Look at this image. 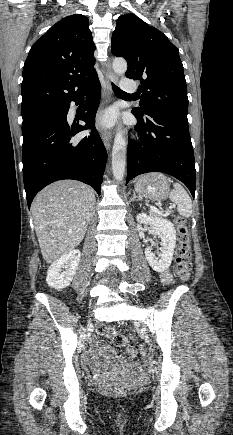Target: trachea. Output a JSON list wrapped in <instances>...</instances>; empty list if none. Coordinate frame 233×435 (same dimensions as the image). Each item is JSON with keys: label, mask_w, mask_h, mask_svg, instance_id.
I'll return each instance as SVG.
<instances>
[{"label": "trachea", "mask_w": 233, "mask_h": 435, "mask_svg": "<svg viewBox=\"0 0 233 435\" xmlns=\"http://www.w3.org/2000/svg\"><path fill=\"white\" fill-rule=\"evenodd\" d=\"M112 88L115 93L125 94L119 87L112 83Z\"/></svg>", "instance_id": "obj_1"}]
</instances>
